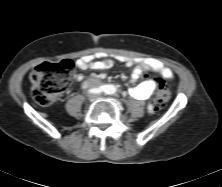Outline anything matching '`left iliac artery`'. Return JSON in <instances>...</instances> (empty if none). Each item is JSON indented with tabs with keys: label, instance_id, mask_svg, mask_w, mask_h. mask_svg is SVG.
<instances>
[{
	"label": "left iliac artery",
	"instance_id": "obj_1",
	"mask_svg": "<svg viewBox=\"0 0 222 187\" xmlns=\"http://www.w3.org/2000/svg\"><path fill=\"white\" fill-rule=\"evenodd\" d=\"M107 94L113 95L115 93V90L113 87H108V89L106 90Z\"/></svg>",
	"mask_w": 222,
	"mask_h": 187
}]
</instances>
